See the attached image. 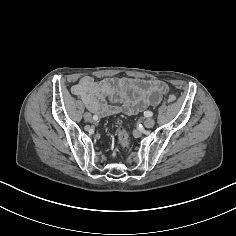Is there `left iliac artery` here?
<instances>
[{"label": "left iliac artery", "mask_w": 236, "mask_h": 236, "mask_svg": "<svg viewBox=\"0 0 236 236\" xmlns=\"http://www.w3.org/2000/svg\"><path fill=\"white\" fill-rule=\"evenodd\" d=\"M144 116L145 117H151V116H153V113L151 111H145Z\"/></svg>", "instance_id": "left-iliac-artery-1"}]
</instances>
